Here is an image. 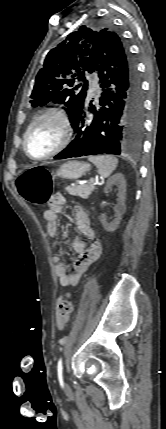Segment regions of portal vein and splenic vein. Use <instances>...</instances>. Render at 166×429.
Segmentation results:
<instances>
[{
    "label": "portal vein and splenic vein",
    "instance_id": "obj_1",
    "mask_svg": "<svg viewBox=\"0 0 166 429\" xmlns=\"http://www.w3.org/2000/svg\"><path fill=\"white\" fill-rule=\"evenodd\" d=\"M90 183L96 184V180L94 178H91Z\"/></svg>",
    "mask_w": 166,
    "mask_h": 429
}]
</instances>
